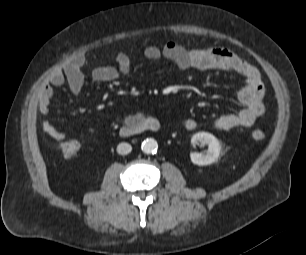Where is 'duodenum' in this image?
I'll list each match as a JSON object with an SVG mask.
<instances>
[{
	"mask_svg": "<svg viewBox=\"0 0 306 255\" xmlns=\"http://www.w3.org/2000/svg\"><path fill=\"white\" fill-rule=\"evenodd\" d=\"M159 129H160V124L156 119L153 118L137 119L126 124L120 130V135L123 137H128L145 131L156 132Z\"/></svg>",
	"mask_w": 306,
	"mask_h": 255,
	"instance_id": "410a0bca",
	"label": "duodenum"
}]
</instances>
